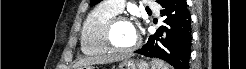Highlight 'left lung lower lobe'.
I'll return each instance as SVG.
<instances>
[{"instance_id":"obj_1","label":"left lung lower lobe","mask_w":246,"mask_h":69,"mask_svg":"<svg viewBox=\"0 0 246 69\" xmlns=\"http://www.w3.org/2000/svg\"><path fill=\"white\" fill-rule=\"evenodd\" d=\"M164 17L154 35L135 53L162 59L175 69H188L191 46V17L186 0H166L160 3Z\"/></svg>"}]
</instances>
